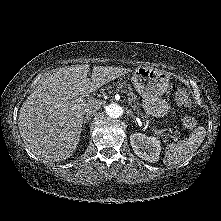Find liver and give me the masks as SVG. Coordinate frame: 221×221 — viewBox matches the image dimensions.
<instances>
[{"mask_svg": "<svg viewBox=\"0 0 221 221\" xmlns=\"http://www.w3.org/2000/svg\"><path fill=\"white\" fill-rule=\"evenodd\" d=\"M129 68L89 65L60 68L49 75L27 97L20 108L18 127L26 147L48 161H64L72 156L80 141L85 109L97 100L77 102L130 72Z\"/></svg>", "mask_w": 221, "mask_h": 221, "instance_id": "liver-1", "label": "liver"}]
</instances>
